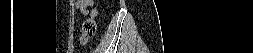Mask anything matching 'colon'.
I'll list each match as a JSON object with an SVG mask.
<instances>
[{
	"label": "colon",
	"mask_w": 253,
	"mask_h": 53,
	"mask_svg": "<svg viewBox=\"0 0 253 53\" xmlns=\"http://www.w3.org/2000/svg\"><path fill=\"white\" fill-rule=\"evenodd\" d=\"M98 14L97 8L91 10L90 16L83 22L81 33L79 36L80 44L86 45L96 33L95 17Z\"/></svg>",
	"instance_id": "colon-1"
}]
</instances>
